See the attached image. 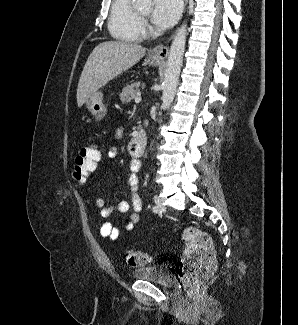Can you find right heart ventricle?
<instances>
[{
  "instance_id": "right-heart-ventricle-1",
  "label": "right heart ventricle",
  "mask_w": 298,
  "mask_h": 325,
  "mask_svg": "<svg viewBox=\"0 0 298 325\" xmlns=\"http://www.w3.org/2000/svg\"><path fill=\"white\" fill-rule=\"evenodd\" d=\"M133 0H116L112 3L108 31L111 37H118V41H142L135 29Z\"/></svg>"
}]
</instances>
